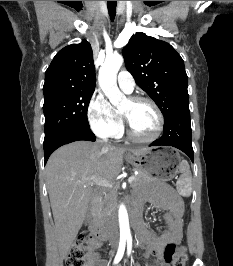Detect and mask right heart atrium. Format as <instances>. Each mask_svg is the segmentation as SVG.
<instances>
[{"label": "right heart atrium", "instance_id": "1", "mask_svg": "<svg viewBox=\"0 0 233 266\" xmlns=\"http://www.w3.org/2000/svg\"><path fill=\"white\" fill-rule=\"evenodd\" d=\"M87 119L92 131L101 138H117L123 131L120 113L100 91H95L89 100Z\"/></svg>", "mask_w": 233, "mask_h": 266}]
</instances>
